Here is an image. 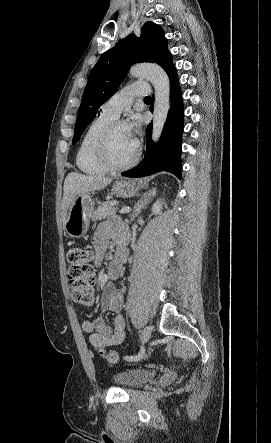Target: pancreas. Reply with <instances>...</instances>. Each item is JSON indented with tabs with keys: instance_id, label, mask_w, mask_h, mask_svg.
<instances>
[{
	"instance_id": "cf45deb5",
	"label": "pancreas",
	"mask_w": 271,
	"mask_h": 443,
	"mask_svg": "<svg viewBox=\"0 0 271 443\" xmlns=\"http://www.w3.org/2000/svg\"><path fill=\"white\" fill-rule=\"evenodd\" d=\"M118 202L116 200H113V202H104V204H101L95 212H93L92 220H102V218H114L117 208Z\"/></svg>"
}]
</instances>
